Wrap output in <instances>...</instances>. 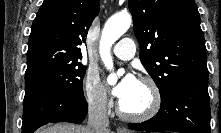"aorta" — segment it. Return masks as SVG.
<instances>
[{"label": "aorta", "instance_id": "762f6f07", "mask_svg": "<svg viewBox=\"0 0 221 133\" xmlns=\"http://www.w3.org/2000/svg\"><path fill=\"white\" fill-rule=\"evenodd\" d=\"M132 19L127 13L116 14L112 16L105 24L100 42V56L107 67V69L113 68V61L110 54L111 46L129 29ZM124 70H119L117 74L111 73L107 81L109 84H115L118 79V75L123 74Z\"/></svg>", "mask_w": 221, "mask_h": 133}]
</instances>
